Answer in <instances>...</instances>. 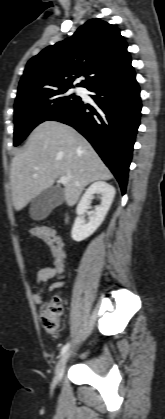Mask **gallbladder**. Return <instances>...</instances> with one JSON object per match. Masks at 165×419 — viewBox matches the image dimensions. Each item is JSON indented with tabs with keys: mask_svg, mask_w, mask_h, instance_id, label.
<instances>
[{
	"mask_svg": "<svg viewBox=\"0 0 165 419\" xmlns=\"http://www.w3.org/2000/svg\"><path fill=\"white\" fill-rule=\"evenodd\" d=\"M64 192L57 187H50L37 195L30 207V216L34 220L45 219L50 212L64 202Z\"/></svg>",
	"mask_w": 165,
	"mask_h": 419,
	"instance_id": "1",
	"label": "gallbladder"
}]
</instances>
